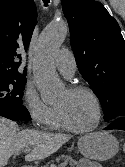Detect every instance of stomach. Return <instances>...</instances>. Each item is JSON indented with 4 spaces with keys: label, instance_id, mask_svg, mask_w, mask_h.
I'll use <instances>...</instances> for the list:
<instances>
[{
    "label": "stomach",
    "instance_id": "obj_1",
    "mask_svg": "<svg viewBox=\"0 0 125 167\" xmlns=\"http://www.w3.org/2000/svg\"><path fill=\"white\" fill-rule=\"evenodd\" d=\"M78 149L85 158L105 161L116 155L119 142L108 132H93L79 139Z\"/></svg>",
    "mask_w": 125,
    "mask_h": 167
}]
</instances>
